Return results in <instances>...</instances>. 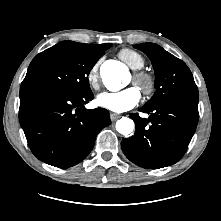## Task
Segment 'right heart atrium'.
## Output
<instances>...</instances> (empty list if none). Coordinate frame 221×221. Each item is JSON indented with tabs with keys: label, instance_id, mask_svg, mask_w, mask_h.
<instances>
[{
	"label": "right heart atrium",
	"instance_id": "d8ad5b80",
	"mask_svg": "<svg viewBox=\"0 0 221 221\" xmlns=\"http://www.w3.org/2000/svg\"><path fill=\"white\" fill-rule=\"evenodd\" d=\"M101 60H97L88 70L86 74V79L91 88H98V70Z\"/></svg>",
	"mask_w": 221,
	"mask_h": 221
}]
</instances>
